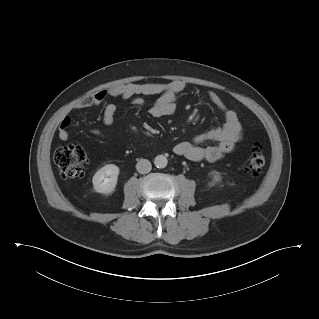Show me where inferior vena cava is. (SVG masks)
I'll list each match as a JSON object with an SVG mask.
<instances>
[{
    "label": "inferior vena cava",
    "instance_id": "1",
    "mask_svg": "<svg viewBox=\"0 0 319 319\" xmlns=\"http://www.w3.org/2000/svg\"><path fill=\"white\" fill-rule=\"evenodd\" d=\"M136 169L140 174H147L151 171V162L147 159H140L136 164Z\"/></svg>",
    "mask_w": 319,
    "mask_h": 319
}]
</instances>
